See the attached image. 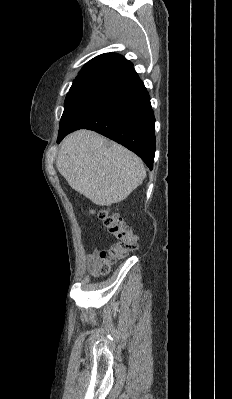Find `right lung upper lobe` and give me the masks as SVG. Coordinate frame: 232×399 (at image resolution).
I'll return each instance as SVG.
<instances>
[{
    "instance_id": "1",
    "label": "right lung upper lobe",
    "mask_w": 232,
    "mask_h": 399,
    "mask_svg": "<svg viewBox=\"0 0 232 399\" xmlns=\"http://www.w3.org/2000/svg\"><path fill=\"white\" fill-rule=\"evenodd\" d=\"M132 67L133 64L123 56L116 53H105L87 62L75 80H95L101 82Z\"/></svg>"
}]
</instances>
